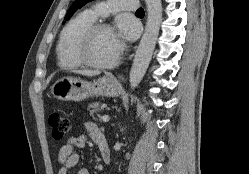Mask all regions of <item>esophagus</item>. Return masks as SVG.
Wrapping results in <instances>:
<instances>
[{
  "mask_svg": "<svg viewBox=\"0 0 249 174\" xmlns=\"http://www.w3.org/2000/svg\"><path fill=\"white\" fill-rule=\"evenodd\" d=\"M118 79H119L120 81H123V80H124V77H123L122 75H119V76H118Z\"/></svg>",
  "mask_w": 249,
  "mask_h": 174,
  "instance_id": "1",
  "label": "esophagus"
}]
</instances>
